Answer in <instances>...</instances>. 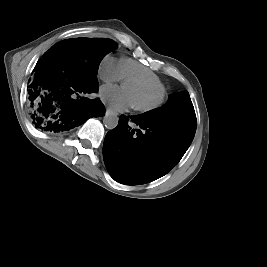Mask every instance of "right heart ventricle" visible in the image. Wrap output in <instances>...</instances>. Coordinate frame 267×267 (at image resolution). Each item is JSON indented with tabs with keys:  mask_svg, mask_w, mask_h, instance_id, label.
<instances>
[{
	"mask_svg": "<svg viewBox=\"0 0 267 267\" xmlns=\"http://www.w3.org/2000/svg\"><path fill=\"white\" fill-rule=\"evenodd\" d=\"M120 65L122 77L124 79L127 80L131 77H139L152 84L161 86V88L164 90L162 80L150 68L128 58H122L120 60Z\"/></svg>",
	"mask_w": 267,
	"mask_h": 267,
	"instance_id": "1",
	"label": "right heart ventricle"
}]
</instances>
